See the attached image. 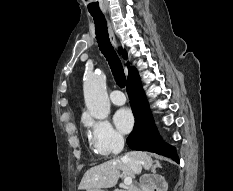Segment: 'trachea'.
Instances as JSON below:
<instances>
[{
    "instance_id": "3493384b",
    "label": "trachea",
    "mask_w": 233,
    "mask_h": 191,
    "mask_svg": "<svg viewBox=\"0 0 233 191\" xmlns=\"http://www.w3.org/2000/svg\"><path fill=\"white\" fill-rule=\"evenodd\" d=\"M96 28V39L100 51L105 56L112 70L117 85L124 88L126 85V77L119 57L117 56L107 32V23L103 14H91Z\"/></svg>"
}]
</instances>
